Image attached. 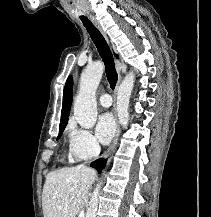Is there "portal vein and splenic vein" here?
<instances>
[{"instance_id": "18ae733b", "label": "portal vein and splenic vein", "mask_w": 211, "mask_h": 217, "mask_svg": "<svg viewBox=\"0 0 211 217\" xmlns=\"http://www.w3.org/2000/svg\"><path fill=\"white\" fill-rule=\"evenodd\" d=\"M79 217H84V212H80Z\"/></svg>"}]
</instances>
